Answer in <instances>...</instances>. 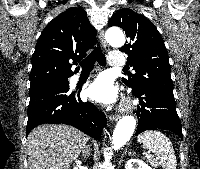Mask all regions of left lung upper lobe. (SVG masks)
I'll return each instance as SVG.
<instances>
[{
    "label": "left lung upper lobe",
    "mask_w": 200,
    "mask_h": 169,
    "mask_svg": "<svg viewBox=\"0 0 200 169\" xmlns=\"http://www.w3.org/2000/svg\"><path fill=\"white\" fill-rule=\"evenodd\" d=\"M108 26L121 27L130 39L119 50L128 54L127 64L136 72L122 78L132 88V93L147 86L173 90L164 41L151 21L129 8H123L111 17Z\"/></svg>",
    "instance_id": "obj_1"
}]
</instances>
